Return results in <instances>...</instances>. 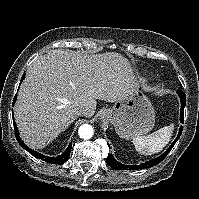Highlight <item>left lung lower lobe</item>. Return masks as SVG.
<instances>
[{
	"instance_id": "1",
	"label": "left lung lower lobe",
	"mask_w": 199,
	"mask_h": 199,
	"mask_svg": "<svg viewBox=\"0 0 199 199\" xmlns=\"http://www.w3.org/2000/svg\"><path fill=\"white\" fill-rule=\"evenodd\" d=\"M177 93L180 96V100H181L180 122L183 123L184 108H185V104H186V95L181 90L178 91ZM182 130H183V126L180 127L178 136L175 139V141L172 143V145L165 151V153H163L161 156H159V157H157L155 159L146 161V162L141 163L139 165H124V164L118 162L112 156V154H108V157L106 158L107 164L111 168H113L115 170H138V169L153 167V166L157 165L158 163H160L168 155V153L170 152V150L175 145L176 141L179 139V137H180V135L182 133Z\"/></svg>"
}]
</instances>
